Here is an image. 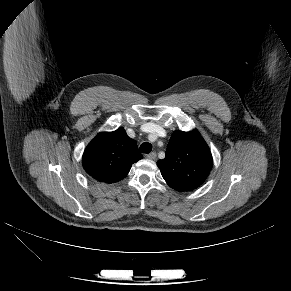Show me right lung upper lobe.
Instances as JSON below:
<instances>
[{
  "label": "right lung upper lobe",
  "mask_w": 291,
  "mask_h": 291,
  "mask_svg": "<svg viewBox=\"0 0 291 291\" xmlns=\"http://www.w3.org/2000/svg\"><path fill=\"white\" fill-rule=\"evenodd\" d=\"M141 158L136 142L119 128L99 133L86 147L82 165L93 179L111 184L126 177L132 164Z\"/></svg>",
  "instance_id": "cb5924a9"
}]
</instances>
